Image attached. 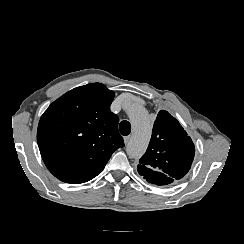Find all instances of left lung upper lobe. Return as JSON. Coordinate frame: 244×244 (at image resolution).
<instances>
[{
    "label": "left lung upper lobe",
    "instance_id": "1",
    "mask_svg": "<svg viewBox=\"0 0 244 244\" xmlns=\"http://www.w3.org/2000/svg\"><path fill=\"white\" fill-rule=\"evenodd\" d=\"M194 154V144L180 123L167 111L161 110L137 170L149 183L168 185L188 173Z\"/></svg>",
    "mask_w": 244,
    "mask_h": 244
}]
</instances>
